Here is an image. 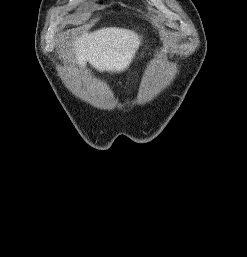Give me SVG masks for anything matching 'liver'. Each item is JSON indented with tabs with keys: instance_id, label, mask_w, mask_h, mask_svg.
<instances>
[{
	"instance_id": "liver-1",
	"label": "liver",
	"mask_w": 247,
	"mask_h": 257,
	"mask_svg": "<svg viewBox=\"0 0 247 257\" xmlns=\"http://www.w3.org/2000/svg\"><path fill=\"white\" fill-rule=\"evenodd\" d=\"M140 41L134 31L116 27L84 33L73 42L75 62L88 61L99 71L121 72L129 67Z\"/></svg>"
}]
</instances>
